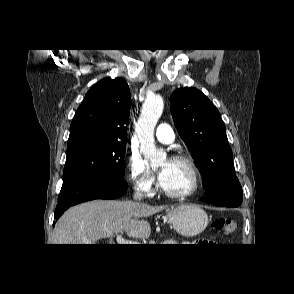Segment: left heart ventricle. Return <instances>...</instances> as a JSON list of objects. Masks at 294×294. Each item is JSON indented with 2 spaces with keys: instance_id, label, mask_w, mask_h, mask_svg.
Returning a JSON list of instances; mask_svg holds the SVG:
<instances>
[{
  "instance_id": "1",
  "label": "left heart ventricle",
  "mask_w": 294,
  "mask_h": 294,
  "mask_svg": "<svg viewBox=\"0 0 294 294\" xmlns=\"http://www.w3.org/2000/svg\"><path fill=\"white\" fill-rule=\"evenodd\" d=\"M163 168L166 169L165 177L161 181L164 189L172 193H182L190 189L192 174L185 164L169 161L161 165V169Z\"/></svg>"
}]
</instances>
